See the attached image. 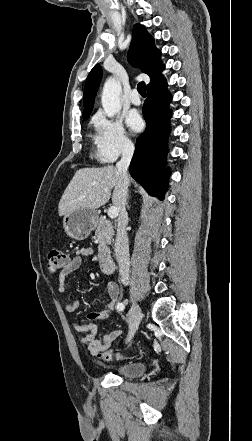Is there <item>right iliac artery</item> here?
Returning <instances> with one entry per match:
<instances>
[{"instance_id": "obj_1", "label": "right iliac artery", "mask_w": 252, "mask_h": 441, "mask_svg": "<svg viewBox=\"0 0 252 441\" xmlns=\"http://www.w3.org/2000/svg\"><path fill=\"white\" fill-rule=\"evenodd\" d=\"M124 308H125V306H124L123 303H119V304L117 305V310H118V311H123Z\"/></svg>"}]
</instances>
